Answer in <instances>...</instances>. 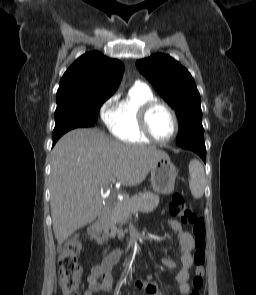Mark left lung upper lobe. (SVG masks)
I'll use <instances>...</instances> for the list:
<instances>
[{
    "instance_id": "left-lung-upper-lobe-1",
    "label": "left lung upper lobe",
    "mask_w": 256,
    "mask_h": 295,
    "mask_svg": "<svg viewBox=\"0 0 256 295\" xmlns=\"http://www.w3.org/2000/svg\"><path fill=\"white\" fill-rule=\"evenodd\" d=\"M138 70L176 111L179 120L177 144L204 142L200 94L191 74L179 62L165 54H156L136 62Z\"/></svg>"
}]
</instances>
